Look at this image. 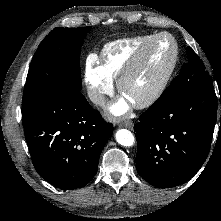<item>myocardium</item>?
I'll list each match as a JSON object with an SVG mask.
<instances>
[{
	"mask_svg": "<svg viewBox=\"0 0 221 221\" xmlns=\"http://www.w3.org/2000/svg\"><path fill=\"white\" fill-rule=\"evenodd\" d=\"M161 38H168L171 41L173 47L171 60L164 75L162 76L161 80L156 85V87L152 90V92L142 100L133 103V105L136 108L144 109L152 106L166 90L178 61L179 49L175 38L171 34L166 32H161L154 35L140 48V50L137 52V54L135 55L134 59L131 61L129 66L124 70V72L118 78L117 82L118 90L122 95H124V91L127 84L130 81H132L143 68L150 48L153 46L155 42H157Z\"/></svg>",
	"mask_w": 221,
	"mask_h": 221,
	"instance_id": "myocardium-1",
	"label": "myocardium"
}]
</instances>
